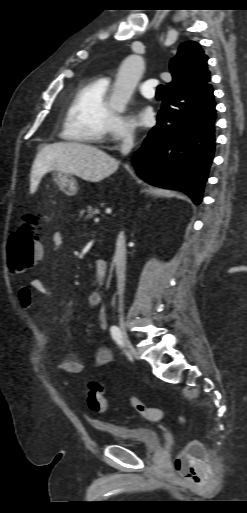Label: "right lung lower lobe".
Returning a JSON list of instances; mask_svg holds the SVG:
<instances>
[{
  "label": "right lung lower lobe",
  "mask_w": 247,
  "mask_h": 513,
  "mask_svg": "<svg viewBox=\"0 0 247 513\" xmlns=\"http://www.w3.org/2000/svg\"><path fill=\"white\" fill-rule=\"evenodd\" d=\"M215 106L210 84L198 92H166L157 125L132 159L137 174L199 204L215 148Z\"/></svg>",
  "instance_id": "98d812e1"
}]
</instances>
